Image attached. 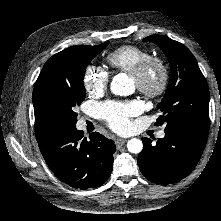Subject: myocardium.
<instances>
[{"label":"myocardium","mask_w":221,"mask_h":221,"mask_svg":"<svg viewBox=\"0 0 221 221\" xmlns=\"http://www.w3.org/2000/svg\"><path fill=\"white\" fill-rule=\"evenodd\" d=\"M158 77L152 81V77ZM138 90L146 97L155 98L163 95L170 83L167 63L160 57L151 56L138 65L130 74Z\"/></svg>","instance_id":"f54148a6"}]
</instances>
